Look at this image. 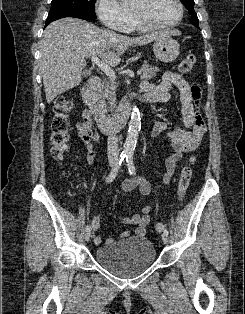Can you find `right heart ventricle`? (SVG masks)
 Returning <instances> with one entry per match:
<instances>
[{
    "label": "right heart ventricle",
    "mask_w": 245,
    "mask_h": 314,
    "mask_svg": "<svg viewBox=\"0 0 245 314\" xmlns=\"http://www.w3.org/2000/svg\"><path fill=\"white\" fill-rule=\"evenodd\" d=\"M135 29H145V28H142V27L136 25V24L134 23L133 19H131V20H130V23H129L127 29H126V31L129 32V31H132V30H135Z\"/></svg>",
    "instance_id": "right-heart-ventricle-1"
}]
</instances>
